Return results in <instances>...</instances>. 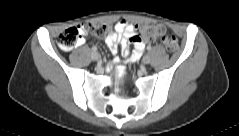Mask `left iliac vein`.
<instances>
[{"mask_svg": "<svg viewBox=\"0 0 239 136\" xmlns=\"http://www.w3.org/2000/svg\"><path fill=\"white\" fill-rule=\"evenodd\" d=\"M143 64H149L150 63V57L149 56H144L142 59Z\"/></svg>", "mask_w": 239, "mask_h": 136, "instance_id": "1", "label": "left iliac vein"}]
</instances>
